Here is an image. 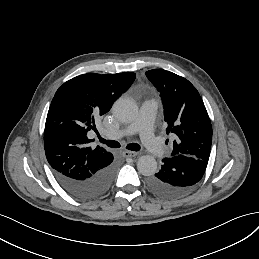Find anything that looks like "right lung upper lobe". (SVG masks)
Instances as JSON below:
<instances>
[{
    "label": "right lung upper lobe",
    "instance_id": "right-lung-upper-lobe-1",
    "mask_svg": "<svg viewBox=\"0 0 259 259\" xmlns=\"http://www.w3.org/2000/svg\"><path fill=\"white\" fill-rule=\"evenodd\" d=\"M135 73H88L65 82L50 104L44 130L46 158L55 172L87 178L113 160L103 147H91L94 118L107 113L133 83Z\"/></svg>",
    "mask_w": 259,
    "mask_h": 259
}]
</instances>
